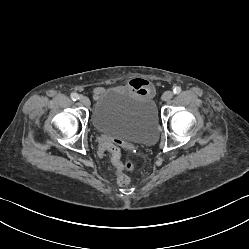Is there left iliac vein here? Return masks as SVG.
<instances>
[{
  "mask_svg": "<svg viewBox=\"0 0 249 249\" xmlns=\"http://www.w3.org/2000/svg\"><path fill=\"white\" fill-rule=\"evenodd\" d=\"M172 97H173V92H172V91H166V92H164V94L162 95V99H163L164 101H169Z\"/></svg>",
  "mask_w": 249,
  "mask_h": 249,
  "instance_id": "left-iliac-vein-1",
  "label": "left iliac vein"
}]
</instances>
